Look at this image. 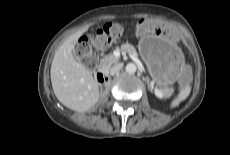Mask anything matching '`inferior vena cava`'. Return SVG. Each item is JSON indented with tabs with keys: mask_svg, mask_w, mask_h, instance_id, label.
<instances>
[{
	"mask_svg": "<svg viewBox=\"0 0 230 155\" xmlns=\"http://www.w3.org/2000/svg\"><path fill=\"white\" fill-rule=\"evenodd\" d=\"M122 68V64H116L113 67H111L110 69V75H115L116 73H118Z\"/></svg>",
	"mask_w": 230,
	"mask_h": 155,
	"instance_id": "1",
	"label": "inferior vena cava"
}]
</instances>
